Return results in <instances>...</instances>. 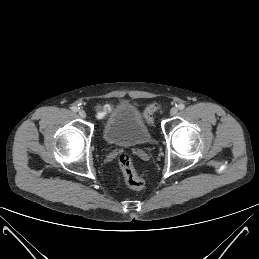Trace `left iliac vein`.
Wrapping results in <instances>:
<instances>
[{"mask_svg": "<svg viewBox=\"0 0 259 259\" xmlns=\"http://www.w3.org/2000/svg\"><path fill=\"white\" fill-rule=\"evenodd\" d=\"M177 113H178V109H177L176 107H173V108L170 110V115H171V116H175Z\"/></svg>", "mask_w": 259, "mask_h": 259, "instance_id": "obj_1", "label": "left iliac vein"}]
</instances>
